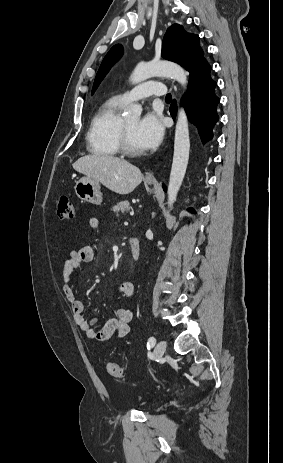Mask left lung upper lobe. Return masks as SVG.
I'll list each match as a JSON object with an SVG mask.
<instances>
[{
	"mask_svg": "<svg viewBox=\"0 0 283 463\" xmlns=\"http://www.w3.org/2000/svg\"><path fill=\"white\" fill-rule=\"evenodd\" d=\"M122 54L123 48L121 45H115L110 49L97 72L92 94ZM161 55L169 61L178 63L187 71L194 64L205 60V58H203V51L199 46L198 35L187 33L183 27L178 24H173L167 29L162 42Z\"/></svg>",
	"mask_w": 283,
	"mask_h": 463,
	"instance_id": "5c2ea615",
	"label": "left lung upper lobe"
}]
</instances>
